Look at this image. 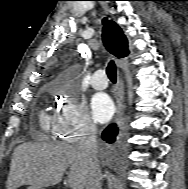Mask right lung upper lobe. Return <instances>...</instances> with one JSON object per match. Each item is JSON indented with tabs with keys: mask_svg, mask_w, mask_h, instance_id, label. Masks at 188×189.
I'll return each instance as SVG.
<instances>
[{
	"mask_svg": "<svg viewBox=\"0 0 188 189\" xmlns=\"http://www.w3.org/2000/svg\"><path fill=\"white\" fill-rule=\"evenodd\" d=\"M103 42L106 49L114 56L120 58L129 54L128 41L122 29L112 20L104 18Z\"/></svg>",
	"mask_w": 188,
	"mask_h": 189,
	"instance_id": "1",
	"label": "right lung upper lobe"
}]
</instances>
